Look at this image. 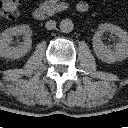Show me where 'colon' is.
<instances>
[{
	"mask_svg": "<svg viewBox=\"0 0 128 128\" xmlns=\"http://www.w3.org/2000/svg\"><path fill=\"white\" fill-rule=\"evenodd\" d=\"M21 3L22 0H0V17L5 20H15Z\"/></svg>",
	"mask_w": 128,
	"mask_h": 128,
	"instance_id": "1",
	"label": "colon"
}]
</instances>
